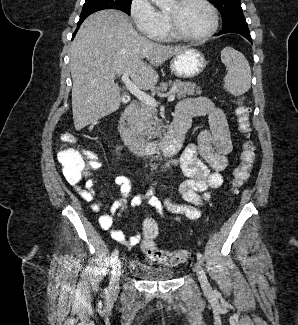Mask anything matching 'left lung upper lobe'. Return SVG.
Instances as JSON below:
<instances>
[{
  "label": "left lung upper lobe",
  "instance_id": "5c2ea615",
  "mask_svg": "<svg viewBox=\"0 0 298 325\" xmlns=\"http://www.w3.org/2000/svg\"><path fill=\"white\" fill-rule=\"evenodd\" d=\"M222 15V27L234 21L245 19L240 0H211Z\"/></svg>",
  "mask_w": 298,
  "mask_h": 325
}]
</instances>
